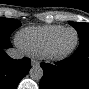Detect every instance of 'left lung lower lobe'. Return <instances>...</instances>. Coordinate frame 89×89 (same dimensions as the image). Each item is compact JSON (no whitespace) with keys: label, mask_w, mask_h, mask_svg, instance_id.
<instances>
[{"label":"left lung lower lobe","mask_w":89,"mask_h":89,"mask_svg":"<svg viewBox=\"0 0 89 89\" xmlns=\"http://www.w3.org/2000/svg\"><path fill=\"white\" fill-rule=\"evenodd\" d=\"M40 65L44 71L40 89H89V40H80L71 57Z\"/></svg>","instance_id":"left-lung-lower-lobe-1"}]
</instances>
